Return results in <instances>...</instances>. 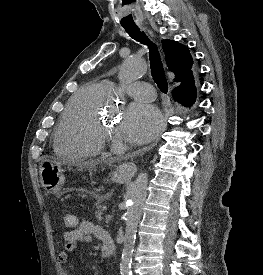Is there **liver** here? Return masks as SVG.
Instances as JSON below:
<instances>
[{
	"label": "liver",
	"instance_id": "liver-1",
	"mask_svg": "<svg viewBox=\"0 0 263 275\" xmlns=\"http://www.w3.org/2000/svg\"><path fill=\"white\" fill-rule=\"evenodd\" d=\"M95 164H96V162H89V163H85L84 166H85V167H91V168H92V167L95 166Z\"/></svg>",
	"mask_w": 263,
	"mask_h": 275
}]
</instances>
